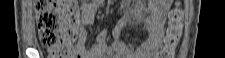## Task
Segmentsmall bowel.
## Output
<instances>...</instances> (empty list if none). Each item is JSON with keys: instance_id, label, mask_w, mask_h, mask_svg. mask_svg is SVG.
<instances>
[{"instance_id": "small-bowel-1", "label": "small bowel", "mask_w": 225, "mask_h": 58, "mask_svg": "<svg viewBox=\"0 0 225 58\" xmlns=\"http://www.w3.org/2000/svg\"><path fill=\"white\" fill-rule=\"evenodd\" d=\"M103 0H92L82 5L81 28L78 42L76 44V54L78 58H151L156 55L161 45L163 27L166 20V13L170 7V0H157L148 4L151 16L141 19L140 24L146 28V36L133 48L129 44L120 42L121 30L134 22V19L127 15L120 19L113 29L112 36L117 44L116 50L107 46V31L97 34L94 42L88 49L86 46L88 33L86 27L93 24L96 13L102 5ZM134 2L126 1L125 6L130 8Z\"/></svg>"}]
</instances>
